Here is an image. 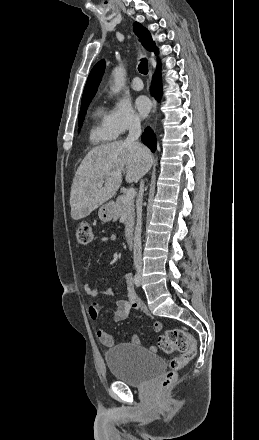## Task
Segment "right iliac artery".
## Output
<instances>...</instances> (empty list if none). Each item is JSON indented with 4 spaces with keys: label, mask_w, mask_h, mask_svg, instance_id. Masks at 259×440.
Masks as SVG:
<instances>
[{
    "label": "right iliac artery",
    "mask_w": 259,
    "mask_h": 440,
    "mask_svg": "<svg viewBox=\"0 0 259 440\" xmlns=\"http://www.w3.org/2000/svg\"><path fill=\"white\" fill-rule=\"evenodd\" d=\"M134 284L136 285V287L140 286V278L138 274H135L134 276Z\"/></svg>",
    "instance_id": "right-iliac-artery-1"
}]
</instances>
